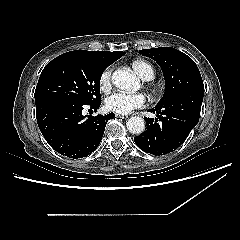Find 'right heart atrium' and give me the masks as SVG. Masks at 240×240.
I'll list each match as a JSON object with an SVG mask.
<instances>
[{
    "label": "right heart atrium",
    "instance_id": "obj_1",
    "mask_svg": "<svg viewBox=\"0 0 240 240\" xmlns=\"http://www.w3.org/2000/svg\"><path fill=\"white\" fill-rule=\"evenodd\" d=\"M112 72H113V66H107L99 77V86L102 91H108L111 87L112 82Z\"/></svg>",
    "mask_w": 240,
    "mask_h": 240
}]
</instances>
